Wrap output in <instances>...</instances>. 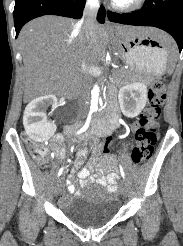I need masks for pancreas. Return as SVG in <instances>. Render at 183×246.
Returning a JSON list of instances; mask_svg holds the SVG:
<instances>
[{
	"label": "pancreas",
	"instance_id": "cf45deb5",
	"mask_svg": "<svg viewBox=\"0 0 183 246\" xmlns=\"http://www.w3.org/2000/svg\"><path fill=\"white\" fill-rule=\"evenodd\" d=\"M119 72H122V73H130L131 70L120 69Z\"/></svg>",
	"mask_w": 183,
	"mask_h": 246
}]
</instances>
